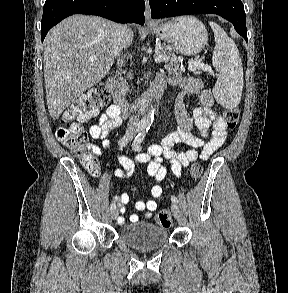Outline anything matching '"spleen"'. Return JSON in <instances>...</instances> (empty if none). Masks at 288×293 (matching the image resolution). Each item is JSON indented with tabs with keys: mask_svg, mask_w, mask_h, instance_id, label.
<instances>
[{
	"mask_svg": "<svg viewBox=\"0 0 288 293\" xmlns=\"http://www.w3.org/2000/svg\"><path fill=\"white\" fill-rule=\"evenodd\" d=\"M209 24L216 43L212 64L219 73L213 95L223 107L234 108L239 104L242 96V61L233 39L217 23L209 22Z\"/></svg>",
	"mask_w": 288,
	"mask_h": 293,
	"instance_id": "spleen-1",
	"label": "spleen"
}]
</instances>
